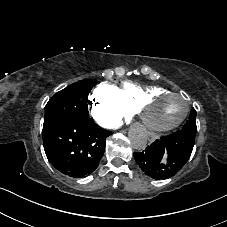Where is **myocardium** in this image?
Here are the masks:
<instances>
[{
  "mask_svg": "<svg viewBox=\"0 0 227 227\" xmlns=\"http://www.w3.org/2000/svg\"><path fill=\"white\" fill-rule=\"evenodd\" d=\"M163 96H180L182 97L185 102H186V107L184 110L183 115L174 123L165 126V127H157V126H153L151 124L148 123L146 116H145V110L147 109V107L153 103L154 101H156L157 99L163 97ZM190 111V100L188 98V96L180 91H162V92H157V93H153L150 94L148 96H146L136 107V114L138 116V120L141 123V125L148 131L151 132H155V131H172L174 129H176L177 127H179L182 122L187 118L188 114Z\"/></svg>",
  "mask_w": 227,
  "mask_h": 227,
  "instance_id": "1",
  "label": "myocardium"
}]
</instances>
